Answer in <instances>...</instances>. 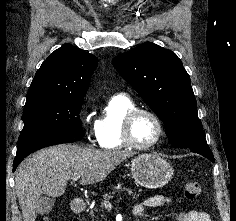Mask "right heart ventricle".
<instances>
[{
  "label": "right heart ventricle",
  "mask_w": 236,
  "mask_h": 221,
  "mask_svg": "<svg viewBox=\"0 0 236 221\" xmlns=\"http://www.w3.org/2000/svg\"><path fill=\"white\" fill-rule=\"evenodd\" d=\"M134 108L135 102L126 94H116L106 102L96 122L101 148L121 150L127 147L122 138V122L125 115Z\"/></svg>",
  "instance_id": "1"
}]
</instances>
